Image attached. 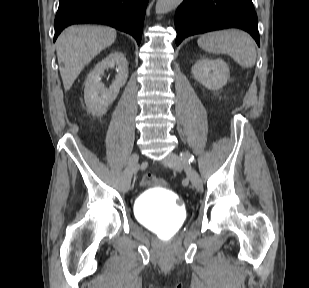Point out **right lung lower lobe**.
I'll list each match as a JSON object with an SVG mask.
<instances>
[{"label": "right lung lower lobe", "instance_id": "obj_1", "mask_svg": "<svg viewBox=\"0 0 309 288\" xmlns=\"http://www.w3.org/2000/svg\"><path fill=\"white\" fill-rule=\"evenodd\" d=\"M148 1L60 0L54 22V41L71 24L100 23L131 34L140 44Z\"/></svg>", "mask_w": 309, "mask_h": 288}]
</instances>
